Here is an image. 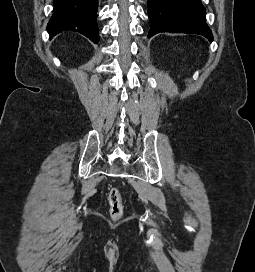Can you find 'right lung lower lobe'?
<instances>
[{
    "mask_svg": "<svg viewBox=\"0 0 255 272\" xmlns=\"http://www.w3.org/2000/svg\"><path fill=\"white\" fill-rule=\"evenodd\" d=\"M97 10L98 0H54L48 33L53 37L62 31L71 30L98 43Z\"/></svg>",
    "mask_w": 255,
    "mask_h": 272,
    "instance_id": "98d812e1",
    "label": "right lung lower lobe"
}]
</instances>
